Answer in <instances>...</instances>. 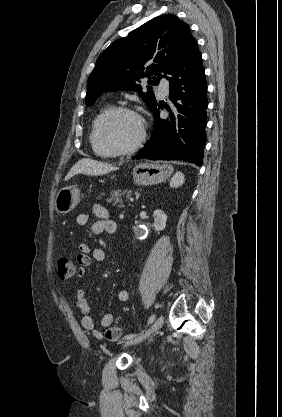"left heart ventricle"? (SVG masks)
<instances>
[{
	"instance_id": "obj_1",
	"label": "left heart ventricle",
	"mask_w": 282,
	"mask_h": 417,
	"mask_svg": "<svg viewBox=\"0 0 282 417\" xmlns=\"http://www.w3.org/2000/svg\"><path fill=\"white\" fill-rule=\"evenodd\" d=\"M140 135L139 121L130 115H120L114 119L109 129L111 142L116 146L133 143Z\"/></svg>"
}]
</instances>
